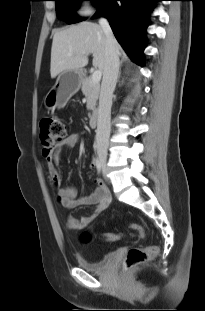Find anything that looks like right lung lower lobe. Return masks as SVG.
<instances>
[{
	"mask_svg": "<svg viewBox=\"0 0 205 311\" xmlns=\"http://www.w3.org/2000/svg\"><path fill=\"white\" fill-rule=\"evenodd\" d=\"M157 0H102L93 18L103 16L129 57L143 66V48L148 16Z\"/></svg>",
	"mask_w": 205,
	"mask_h": 311,
	"instance_id": "98d812e1",
	"label": "right lung lower lobe"
}]
</instances>
